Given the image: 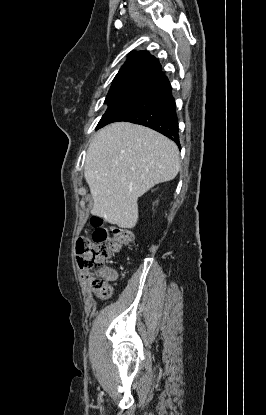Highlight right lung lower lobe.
Returning a JSON list of instances; mask_svg holds the SVG:
<instances>
[{
    "label": "right lung lower lobe",
    "mask_w": 266,
    "mask_h": 415,
    "mask_svg": "<svg viewBox=\"0 0 266 415\" xmlns=\"http://www.w3.org/2000/svg\"><path fill=\"white\" fill-rule=\"evenodd\" d=\"M119 121L132 122L154 129L173 140L180 148L176 104L169 83L114 114L105 125Z\"/></svg>",
    "instance_id": "right-lung-lower-lobe-1"
}]
</instances>
